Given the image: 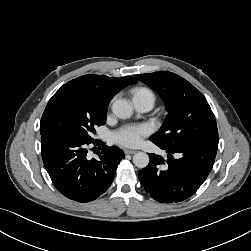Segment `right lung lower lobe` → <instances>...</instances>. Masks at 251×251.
Segmentation results:
<instances>
[{"instance_id": "98d812e1", "label": "right lung lower lobe", "mask_w": 251, "mask_h": 251, "mask_svg": "<svg viewBox=\"0 0 251 251\" xmlns=\"http://www.w3.org/2000/svg\"><path fill=\"white\" fill-rule=\"evenodd\" d=\"M62 133L41 136L42 158L56 189L67 198L89 202L111 185L124 152L117 147L102 145L98 158L87 159L89 144Z\"/></svg>"}]
</instances>
